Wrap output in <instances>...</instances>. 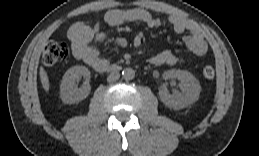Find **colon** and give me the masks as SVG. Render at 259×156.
Returning a JSON list of instances; mask_svg holds the SVG:
<instances>
[{
    "label": "colon",
    "mask_w": 259,
    "mask_h": 156,
    "mask_svg": "<svg viewBox=\"0 0 259 156\" xmlns=\"http://www.w3.org/2000/svg\"><path fill=\"white\" fill-rule=\"evenodd\" d=\"M69 49L65 43L49 41L43 50L42 61L46 67H53L66 59ZM202 76L205 79H213L215 71L211 66H205L202 69Z\"/></svg>",
    "instance_id": "5ec220e1"
}]
</instances>
